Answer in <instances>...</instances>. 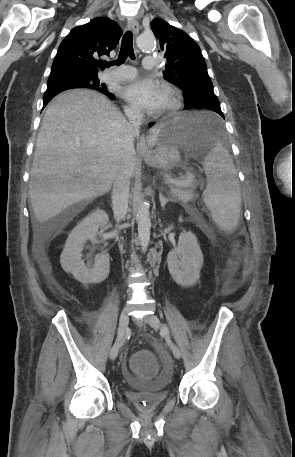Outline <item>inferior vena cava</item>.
Masks as SVG:
<instances>
[{"label": "inferior vena cava", "instance_id": "obj_1", "mask_svg": "<svg viewBox=\"0 0 295 457\" xmlns=\"http://www.w3.org/2000/svg\"><path fill=\"white\" fill-rule=\"evenodd\" d=\"M129 124L139 131L142 114L139 109H128L125 112ZM130 176L127 171H119L113 181L112 204L114 218L117 222L123 220L128 210Z\"/></svg>", "mask_w": 295, "mask_h": 457}]
</instances>
